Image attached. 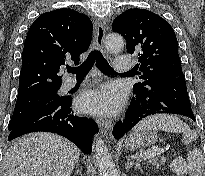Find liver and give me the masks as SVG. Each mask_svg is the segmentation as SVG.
<instances>
[{
	"instance_id": "1",
	"label": "liver",
	"mask_w": 205,
	"mask_h": 176,
	"mask_svg": "<svg viewBox=\"0 0 205 176\" xmlns=\"http://www.w3.org/2000/svg\"><path fill=\"white\" fill-rule=\"evenodd\" d=\"M80 150L67 139L47 132L12 141L3 158V176H70Z\"/></svg>"
}]
</instances>
